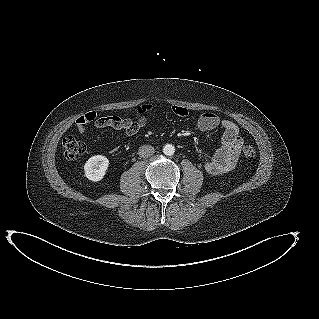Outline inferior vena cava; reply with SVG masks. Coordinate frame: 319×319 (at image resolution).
I'll use <instances>...</instances> for the list:
<instances>
[{"label": "inferior vena cava", "instance_id": "602c4592", "mask_svg": "<svg viewBox=\"0 0 319 319\" xmlns=\"http://www.w3.org/2000/svg\"><path fill=\"white\" fill-rule=\"evenodd\" d=\"M155 149L151 145H143L139 148V156L142 158L150 157L154 154Z\"/></svg>", "mask_w": 319, "mask_h": 319}]
</instances>
